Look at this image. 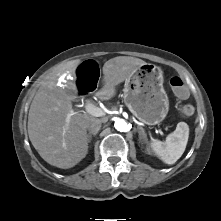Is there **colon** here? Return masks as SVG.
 <instances>
[{"label": "colon", "instance_id": "obj_1", "mask_svg": "<svg viewBox=\"0 0 221 221\" xmlns=\"http://www.w3.org/2000/svg\"><path fill=\"white\" fill-rule=\"evenodd\" d=\"M100 72L99 63L96 60H85L81 66L74 70V93L78 97H88L95 89L98 83V75ZM170 86L176 96L186 98L188 90L182 78L174 76L170 79ZM181 113L189 117L194 113V107L191 104H184L181 107Z\"/></svg>", "mask_w": 221, "mask_h": 221}]
</instances>
